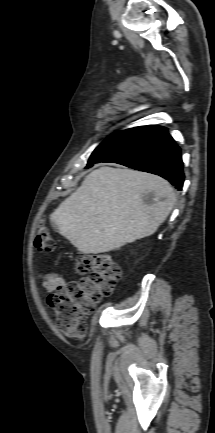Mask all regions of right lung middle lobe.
Masks as SVG:
<instances>
[{
	"label": "right lung middle lobe",
	"mask_w": 215,
	"mask_h": 433,
	"mask_svg": "<svg viewBox=\"0 0 215 433\" xmlns=\"http://www.w3.org/2000/svg\"><path fill=\"white\" fill-rule=\"evenodd\" d=\"M145 126L119 131L105 139L91 154L86 168L102 162L128 145Z\"/></svg>",
	"instance_id": "obj_1"
}]
</instances>
